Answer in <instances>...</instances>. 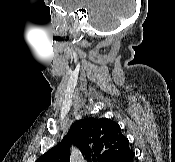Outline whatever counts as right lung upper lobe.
Here are the masks:
<instances>
[{"mask_svg":"<svg viewBox=\"0 0 175 162\" xmlns=\"http://www.w3.org/2000/svg\"><path fill=\"white\" fill-rule=\"evenodd\" d=\"M76 145L90 162H112L129 148L120 126L107 118H85L73 123L62 141L36 162H70V146Z\"/></svg>","mask_w":175,"mask_h":162,"instance_id":"cb5924a9","label":"right lung upper lobe"}]
</instances>
